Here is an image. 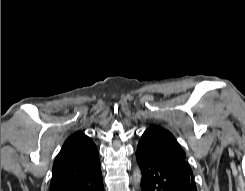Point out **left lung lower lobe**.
Returning <instances> with one entry per match:
<instances>
[{"instance_id": "obj_1", "label": "left lung lower lobe", "mask_w": 245, "mask_h": 191, "mask_svg": "<svg viewBox=\"0 0 245 191\" xmlns=\"http://www.w3.org/2000/svg\"><path fill=\"white\" fill-rule=\"evenodd\" d=\"M141 170V191H197L194 181L136 152Z\"/></svg>"}]
</instances>
